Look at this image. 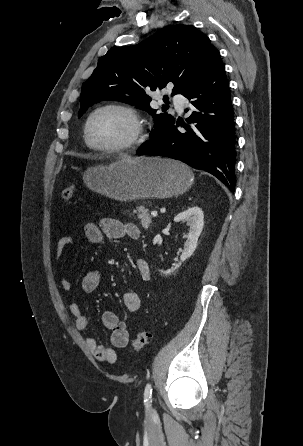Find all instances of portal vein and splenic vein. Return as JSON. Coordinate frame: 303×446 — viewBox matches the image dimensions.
Returning a JSON list of instances; mask_svg holds the SVG:
<instances>
[{"label":"portal vein and splenic vein","mask_w":303,"mask_h":446,"mask_svg":"<svg viewBox=\"0 0 303 446\" xmlns=\"http://www.w3.org/2000/svg\"><path fill=\"white\" fill-rule=\"evenodd\" d=\"M151 215H152L153 217H156V216H157V212H156V211H152V212H151Z\"/></svg>","instance_id":"portal-vein-and-splenic-vein-1"}]
</instances>
